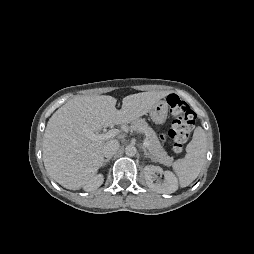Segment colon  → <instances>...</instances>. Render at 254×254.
<instances>
[{
    "instance_id": "5ec220e1",
    "label": "colon",
    "mask_w": 254,
    "mask_h": 254,
    "mask_svg": "<svg viewBox=\"0 0 254 254\" xmlns=\"http://www.w3.org/2000/svg\"><path fill=\"white\" fill-rule=\"evenodd\" d=\"M167 102L171 111L176 115V119L168 131V137L172 141L175 151H180L191 136L196 114L185 101L176 95H169Z\"/></svg>"
}]
</instances>
